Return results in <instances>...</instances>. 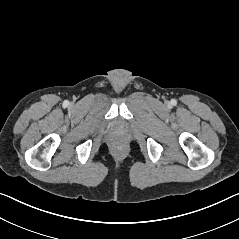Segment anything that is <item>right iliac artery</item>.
Returning a JSON list of instances; mask_svg holds the SVG:
<instances>
[{
	"mask_svg": "<svg viewBox=\"0 0 239 239\" xmlns=\"http://www.w3.org/2000/svg\"><path fill=\"white\" fill-rule=\"evenodd\" d=\"M69 104L68 101H64V105L67 106Z\"/></svg>",
	"mask_w": 239,
	"mask_h": 239,
	"instance_id": "obj_1",
	"label": "right iliac artery"
}]
</instances>
